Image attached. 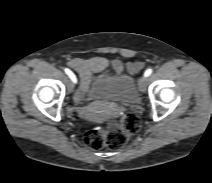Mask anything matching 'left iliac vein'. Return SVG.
Segmentation results:
<instances>
[{
    "label": "left iliac vein",
    "instance_id": "1",
    "mask_svg": "<svg viewBox=\"0 0 212 183\" xmlns=\"http://www.w3.org/2000/svg\"><path fill=\"white\" fill-rule=\"evenodd\" d=\"M146 84H147V78L145 76H142L139 79V88L142 92H145L146 90Z\"/></svg>",
    "mask_w": 212,
    "mask_h": 183
}]
</instances>
